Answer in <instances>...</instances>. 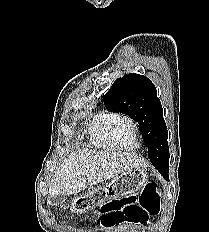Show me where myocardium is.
<instances>
[{"label": "myocardium", "instance_id": "f54148a6", "mask_svg": "<svg viewBox=\"0 0 209 232\" xmlns=\"http://www.w3.org/2000/svg\"><path fill=\"white\" fill-rule=\"evenodd\" d=\"M128 123L131 127H132V131H133V138L135 139L137 136V131H138V126L137 123L135 122V120L129 116H124V115H120L110 126V137L111 140L113 141V143L120 149H124V150H131V148H127L125 146H123L120 141L117 139L115 132H114V128L117 124L119 123Z\"/></svg>", "mask_w": 209, "mask_h": 232}]
</instances>
